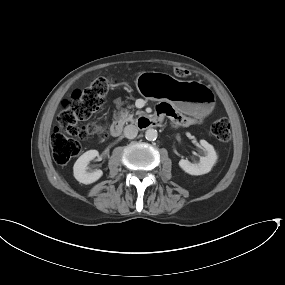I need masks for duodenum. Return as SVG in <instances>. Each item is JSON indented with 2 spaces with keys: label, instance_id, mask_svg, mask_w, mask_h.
Segmentation results:
<instances>
[{
  "label": "duodenum",
  "instance_id": "410a0bca",
  "mask_svg": "<svg viewBox=\"0 0 285 285\" xmlns=\"http://www.w3.org/2000/svg\"><path fill=\"white\" fill-rule=\"evenodd\" d=\"M141 120L144 121L147 124V126L148 125L149 126L154 125V120L152 118L142 117ZM110 131H111L112 136H114V137L120 136L122 134V131H123V124H122V122L114 121L111 124Z\"/></svg>",
  "mask_w": 285,
  "mask_h": 285
}]
</instances>
